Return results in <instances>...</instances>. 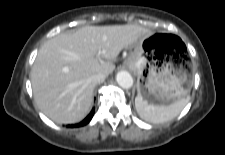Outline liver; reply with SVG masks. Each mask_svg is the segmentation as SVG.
Wrapping results in <instances>:
<instances>
[{
    "label": "liver",
    "mask_w": 225,
    "mask_h": 155,
    "mask_svg": "<svg viewBox=\"0 0 225 155\" xmlns=\"http://www.w3.org/2000/svg\"><path fill=\"white\" fill-rule=\"evenodd\" d=\"M151 33L129 24L85 26L49 39L39 49L31 71L38 108L59 124L81 121L91 106L92 77L111 74L119 53Z\"/></svg>",
    "instance_id": "6515ba94"
}]
</instances>
